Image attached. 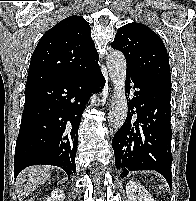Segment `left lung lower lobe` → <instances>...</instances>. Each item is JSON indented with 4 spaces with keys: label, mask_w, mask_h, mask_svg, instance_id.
Wrapping results in <instances>:
<instances>
[{
    "label": "left lung lower lobe",
    "mask_w": 196,
    "mask_h": 201,
    "mask_svg": "<svg viewBox=\"0 0 196 201\" xmlns=\"http://www.w3.org/2000/svg\"><path fill=\"white\" fill-rule=\"evenodd\" d=\"M125 87L128 98L133 89V97L127 118L112 140L115 166L122 178L130 171L155 170L171 187V90L130 71H126Z\"/></svg>",
    "instance_id": "1"
}]
</instances>
